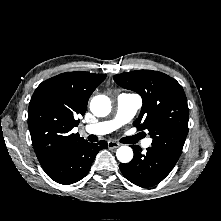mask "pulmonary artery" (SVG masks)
Listing matches in <instances>:
<instances>
[{
    "instance_id": "e3ab8cb5",
    "label": "pulmonary artery",
    "mask_w": 221,
    "mask_h": 221,
    "mask_svg": "<svg viewBox=\"0 0 221 221\" xmlns=\"http://www.w3.org/2000/svg\"><path fill=\"white\" fill-rule=\"evenodd\" d=\"M142 105L141 97L137 94L122 93L117 98L116 115L112 120L98 122L85 126L87 133L94 135H105L113 132L122 125L128 123ZM151 145V140L144 141L145 148Z\"/></svg>"
}]
</instances>
